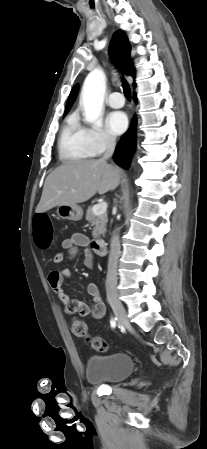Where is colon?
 Masks as SVG:
<instances>
[{
	"instance_id": "1",
	"label": "colon",
	"mask_w": 207,
	"mask_h": 449,
	"mask_svg": "<svg viewBox=\"0 0 207 449\" xmlns=\"http://www.w3.org/2000/svg\"><path fill=\"white\" fill-rule=\"evenodd\" d=\"M34 241L39 249L50 248L53 238V227L49 217L39 213L34 218ZM71 331L76 337L86 338L91 347L96 351H105L106 342L99 336H90L86 323L80 318L71 319Z\"/></svg>"
}]
</instances>
